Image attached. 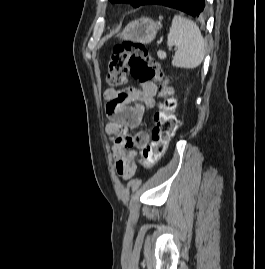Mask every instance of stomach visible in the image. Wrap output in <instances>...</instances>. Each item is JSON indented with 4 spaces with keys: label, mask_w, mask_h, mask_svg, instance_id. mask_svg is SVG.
Segmentation results:
<instances>
[{
    "label": "stomach",
    "mask_w": 265,
    "mask_h": 269,
    "mask_svg": "<svg viewBox=\"0 0 265 269\" xmlns=\"http://www.w3.org/2000/svg\"><path fill=\"white\" fill-rule=\"evenodd\" d=\"M160 28L159 22L147 17H142L128 23L119 34V37L127 41L148 44L155 39Z\"/></svg>",
    "instance_id": "obj_1"
}]
</instances>
